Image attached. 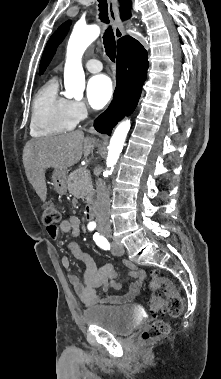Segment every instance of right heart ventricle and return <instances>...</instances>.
<instances>
[{"mask_svg": "<svg viewBox=\"0 0 221 379\" xmlns=\"http://www.w3.org/2000/svg\"><path fill=\"white\" fill-rule=\"evenodd\" d=\"M76 123L70 100L59 94L57 81L50 80L34 98L30 120L31 135H59L72 130Z\"/></svg>", "mask_w": 221, "mask_h": 379, "instance_id": "right-heart-ventricle-1", "label": "right heart ventricle"}]
</instances>
